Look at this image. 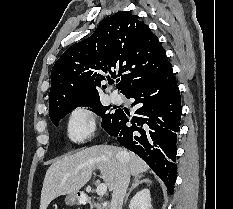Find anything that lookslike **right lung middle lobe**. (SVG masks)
<instances>
[{
  "mask_svg": "<svg viewBox=\"0 0 233 209\" xmlns=\"http://www.w3.org/2000/svg\"><path fill=\"white\" fill-rule=\"evenodd\" d=\"M79 106H87L90 108H93L95 113L99 116H102V127L107 128L111 122L114 120V118L117 115V111L115 113H107V110L109 109V106H103L100 103V100H93V101H87V102H81V103H75V104H69L60 106L53 111L49 112L51 121L54 123V125L57 127L60 119L63 118V116L69 112L70 110L79 107Z\"/></svg>",
  "mask_w": 233,
  "mask_h": 209,
  "instance_id": "dd1d6c3e",
  "label": "right lung middle lobe"
}]
</instances>
